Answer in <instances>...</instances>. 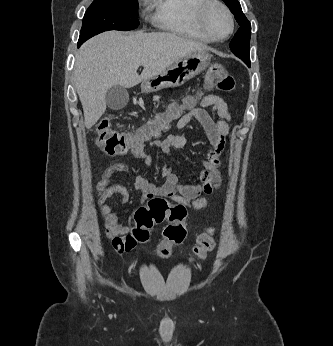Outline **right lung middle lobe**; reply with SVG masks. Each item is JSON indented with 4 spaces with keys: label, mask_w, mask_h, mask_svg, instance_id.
Instances as JSON below:
<instances>
[{
    "label": "right lung middle lobe",
    "mask_w": 333,
    "mask_h": 346,
    "mask_svg": "<svg viewBox=\"0 0 333 346\" xmlns=\"http://www.w3.org/2000/svg\"><path fill=\"white\" fill-rule=\"evenodd\" d=\"M137 0H94L83 18L78 47L107 30L128 31L138 27Z\"/></svg>",
    "instance_id": "right-lung-middle-lobe-1"
}]
</instances>
